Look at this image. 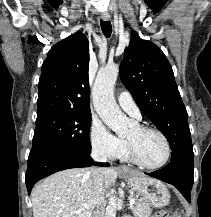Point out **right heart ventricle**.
I'll return each mask as SVG.
<instances>
[{"mask_svg":"<svg viewBox=\"0 0 211 217\" xmlns=\"http://www.w3.org/2000/svg\"><path fill=\"white\" fill-rule=\"evenodd\" d=\"M121 157H122L123 160H129L128 152L126 150H124Z\"/></svg>","mask_w":211,"mask_h":217,"instance_id":"obj_1","label":"right heart ventricle"}]
</instances>
